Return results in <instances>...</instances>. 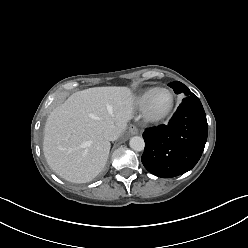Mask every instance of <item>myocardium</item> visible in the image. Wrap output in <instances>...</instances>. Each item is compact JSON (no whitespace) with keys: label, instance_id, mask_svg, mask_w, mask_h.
Wrapping results in <instances>:
<instances>
[{"label":"myocardium","instance_id":"1","mask_svg":"<svg viewBox=\"0 0 248 248\" xmlns=\"http://www.w3.org/2000/svg\"><path fill=\"white\" fill-rule=\"evenodd\" d=\"M166 94L168 97L167 104L161 109L153 108V100L158 94ZM174 107L173 94L165 88H154L147 96L142 109V115L146 122L158 123L165 119L172 111Z\"/></svg>","mask_w":248,"mask_h":248}]
</instances>
